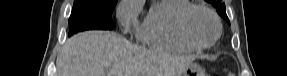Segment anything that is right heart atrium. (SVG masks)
Returning a JSON list of instances; mask_svg holds the SVG:
<instances>
[{"mask_svg":"<svg viewBox=\"0 0 287 76\" xmlns=\"http://www.w3.org/2000/svg\"><path fill=\"white\" fill-rule=\"evenodd\" d=\"M141 10L140 0H123L117 10V16L124 28L136 26Z\"/></svg>","mask_w":287,"mask_h":76,"instance_id":"obj_1","label":"right heart atrium"}]
</instances>
